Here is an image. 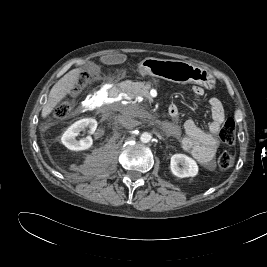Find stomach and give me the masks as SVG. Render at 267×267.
<instances>
[{"label":"stomach","mask_w":267,"mask_h":267,"mask_svg":"<svg viewBox=\"0 0 267 267\" xmlns=\"http://www.w3.org/2000/svg\"><path fill=\"white\" fill-rule=\"evenodd\" d=\"M141 75L163 78L175 83H193L208 89L215 84L213 75L206 69L180 60H163L147 57L139 64Z\"/></svg>","instance_id":"stomach-1"}]
</instances>
